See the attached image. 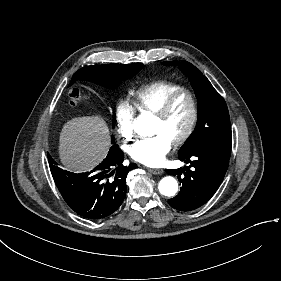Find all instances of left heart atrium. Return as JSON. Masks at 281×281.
<instances>
[{"instance_id": "1", "label": "left heart atrium", "mask_w": 281, "mask_h": 281, "mask_svg": "<svg viewBox=\"0 0 281 281\" xmlns=\"http://www.w3.org/2000/svg\"><path fill=\"white\" fill-rule=\"evenodd\" d=\"M172 142L164 134L158 133L134 144L130 149L133 160L151 167L164 163Z\"/></svg>"}]
</instances>
